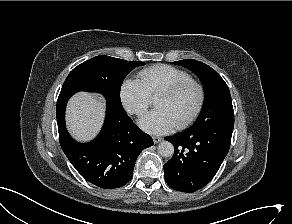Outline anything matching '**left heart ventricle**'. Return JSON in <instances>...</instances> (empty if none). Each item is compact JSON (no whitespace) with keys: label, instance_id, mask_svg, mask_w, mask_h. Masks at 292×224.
I'll return each instance as SVG.
<instances>
[{"label":"left heart ventricle","instance_id":"obj_1","mask_svg":"<svg viewBox=\"0 0 292 224\" xmlns=\"http://www.w3.org/2000/svg\"><path fill=\"white\" fill-rule=\"evenodd\" d=\"M197 102L198 91L194 87H190L172 98L157 97L154 105L157 109L165 110L177 125L193 112Z\"/></svg>","mask_w":292,"mask_h":224}]
</instances>
